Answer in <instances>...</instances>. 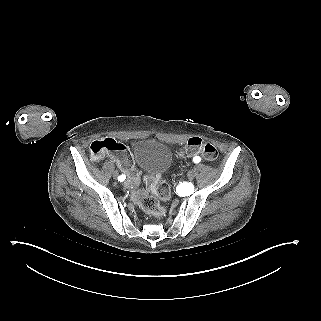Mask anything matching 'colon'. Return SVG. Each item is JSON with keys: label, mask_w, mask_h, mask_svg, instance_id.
I'll use <instances>...</instances> for the list:
<instances>
[{"label": "colon", "mask_w": 321, "mask_h": 321, "mask_svg": "<svg viewBox=\"0 0 321 321\" xmlns=\"http://www.w3.org/2000/svg\"><path fill=\"white\" fill-rule=\"evenodd\" d=\"M182 157H201L206 161H215L218 153L215 146L198 137L190 138L180 152ZM110 155L118 164L120 169L127 175L124 183L133 201L148 215L162 217L165 209L161 206L159 199H167L170 195V186L160 177L147 176L146 182L148 191L140 189L139 174L134 167L130 152L125 145L113 138H105L94 141L90 146V156L94 161L100 160L103 156Z\"/></svg>", "instance_id": "1"}]
</instances>
